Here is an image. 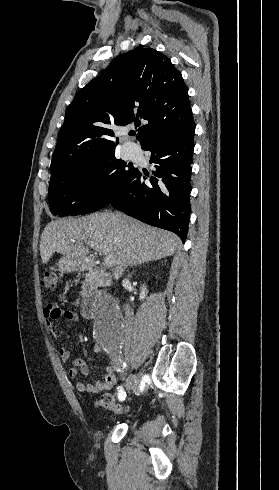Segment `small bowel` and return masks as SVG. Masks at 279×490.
<instances>
[{"label":"small bowel","instance_id":"small-bowel-1","mask_svg":"<svg viewBox=\"0 0 279 490\" xmlns=\"http://www.w3.org/2000/svg\"><path fill=\"white\" fill-rule=\"evenodd\" d=\"M44 325L47 329H52L54 322L60 319H64L71 322L79 320V316L76 312L64 309L58 306L56 303H48L43 310ZM95 350H98L95 348ZM59 356L62 361L66 362L71 357V352L66 347H60L58 349ZM89 374V367L83 359H75L72 362V367L69 371V378L76 382L75 388L79 393H85L89 395L100 394L104 391L111 390L115 385V375L111 367L105 369L103 380H99L94 384H86L82 381Z\"/></svg>","mask_w":279,"mask_h":490}]
</instances>
